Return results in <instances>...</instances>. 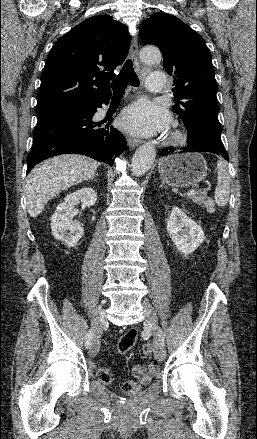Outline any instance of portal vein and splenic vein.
<instances>
[{"mask_svg": "<svg viewBox=\"0 0 257 439\" xmlns=\"http://www.w3.org/2000/svg\"><path fill=\"white\" fill-rule=\"evenodd\" d=\"M195 194V190L194 189H191V190H189L188 192H187V195L188 196H192V195H194Z\"/></svg>", "mask_w": 257, "mask_h": 439, "instance_id": "1", "label": "portal vein and splenic vein"}]
</instances>
